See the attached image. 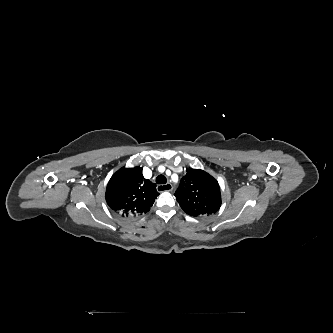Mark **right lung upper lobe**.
Returning a JSON list of instances; mask_svg holds the SVG:
<instances>
[{
  "instance_id": "1",
  "label": "right lung upper lobe",
  "mask_w": 333,
  "mask_h": 333,
  "mask_svg": "<svg viewBox=\"0 0 333 333\" xmlns=\"http://www.w3.org/2000/svg\"><path fill=\"white\" fill-rule=\"evenodd\" d=\"M159 195L156 184L144 179L142 168L122 167L109 180L105 198L108 206L123 217L146 213Z\"/></svg>"
}]
</instances>
